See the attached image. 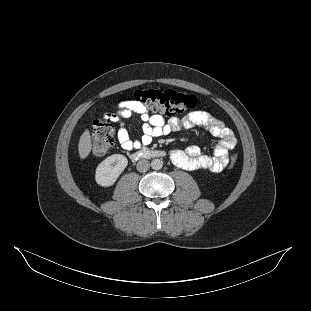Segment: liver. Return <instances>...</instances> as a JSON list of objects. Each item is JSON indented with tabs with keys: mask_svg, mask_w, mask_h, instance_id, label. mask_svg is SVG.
Listing matches in <instances>:
<instances>
[{
	"mask_svg": "<svg viewBox=\"0 0 311 311\" xmlns=\"http://www.w3.org/2000/svg\"><path fill=\"white\" fill-rule=\"evenodd\" d=\"M92 149L90 132L86 129L80 137L78 144L79 156L81 159H85Z\"/></svg>",
	"mask_w": 311,
	"mask_h": 311,
	"instance_id": "6515ba94",
	"label": "liver"
}]
</instances>
